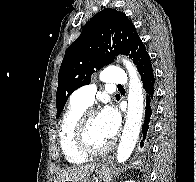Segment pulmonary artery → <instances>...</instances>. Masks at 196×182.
Listing matches in <instances>:
<instances>
[{
    "instance_id": "1",
    "label": "pulmonary artery",
    "mask_w": 196,
    "mask_h": 182,
    "mask_svg": "<svg viewBox=\"0 0 196 182\" xmlns=\"http://www.w3.org/2000/svg\"><path fill=\"white\" fill-rule=\"evenodd\" d=\"M102 80L111 85H126L127 84V76L126 73L117 68L110 67L107 68L102 76ZM96 92L95 85H85L80 87L72 94V100L78 102L86 107L91 106L94 100V95Z\"/></svg>"
}]
</instances>
